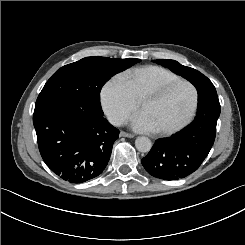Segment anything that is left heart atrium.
I'll return each instance as SVG.
<instances>
[{
    "instance_id": "obj_1",
    "label": "left heart atrium",
    "mask_w": 245,
    "mask_h": 245,
    "mask_svg": "<svg viewBox=\"0 0 245 245\" xmlns=\"http://www.w3.org/2000/svg\"><path fill=\"white\" fill-rule=\"evenodd\" d=\"M131 125L135 130L141 131V132L157 130L155 126L151 123V121L148 119L146 114L143 112H138L134 116Z\"/></svg>"
}]
</instances>
